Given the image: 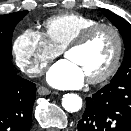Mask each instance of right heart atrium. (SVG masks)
<instances>
[{
  "label": "right heart atrium",
  "mask_w": 131,
  "mask_h": 131,
  "mask_svg": "<svg viewBox=\"0 0 131 131\" xmlns=\"http://www.w3.org/2000/svg\"><path fill=\"white\" fill-rule=\"evenodd\" d=\"M13 53L19 68L34 76L41 73L61 51L56 49L43 33L27 29L14 40Z\"/></svg>",
  "instance_id": "1"
}]
</instances>
